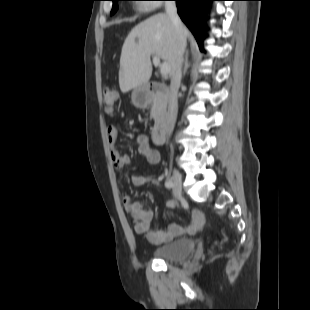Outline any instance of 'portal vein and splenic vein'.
Returning <instances> with one entry per match:
<instances>
[{"instance_id":"obj_1","label":"portal vein and splenic vein","mask_w":310,"mask_h":310,"mask_svg":"<svg viewBox=\"0 0 310 310\" xmlns=\"http://www.w3.org/2000/svg\"><path fill=\"white\" fill-rule=\"evenodd\" d=\"M153 64L154 65H159L160 64V58L157 56L153 57ZM170 68L169 65L167 63H163L162 65H160V73L161 75L165 76L169 73Z\"/></svg>"}]
</instances>
